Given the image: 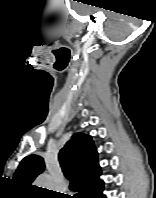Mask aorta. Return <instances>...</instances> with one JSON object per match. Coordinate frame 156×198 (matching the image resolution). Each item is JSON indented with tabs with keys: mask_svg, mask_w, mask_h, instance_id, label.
Instances as JSON below:
<instances>
[{
	"mask_svg": "<svg viewBox=\"0 0 156 198\" xmlns=\"http://www.w3.org/2000/svg\"><path fill=\"white\" fill-rule=\"evenodd\" d=\"M36 184L39 187L48 189V188H50L52 186V180H51L49 175L43 174L40 177H38V179L36 181Z\"/></svg>",
	"mask_w": 156,
	"mask_h": 198,
	"instance_id": "obj_1",
	"label": "aorta"
}]
</instances>
